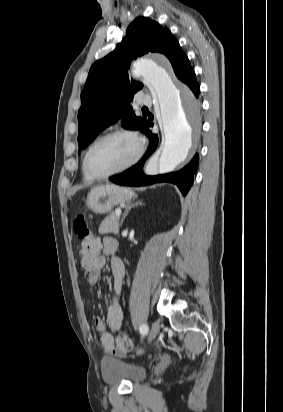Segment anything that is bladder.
<instances>
[{"label": "bladder", "mask_w": 283, "mask_h": 412, "mask_svg": "<svg viewBox=\"0 0 283 412\" xmlns=\"http://www.w3.org/2000/svg\"><path fill=\"white\" fill-rule=\"evenodd\" d=\"M101 377L110 385L126 382L136 385L143 382L147 376L144 367L133 365L124 360L104 359L101 362Z\"/></svg>", "instance_id": "31cf9c89"}]
</instances>
